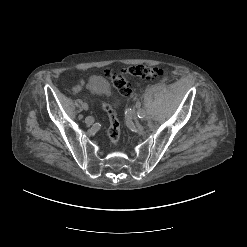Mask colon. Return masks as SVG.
<instances>
[{
	"mask_svg": "<svg viewBox=\"0 0 247 247\" xmlns=\"http://www.w3.org/2000/svg\"><path fill=\"white\" fill-rule=\"evenodd\" d=\"M113 87L117 89L123 96H129L131 93L128 77H136L144 81H155L162 79L165 75L164 71L159 67H151L146 65L129 66L121 69L119 72L107 71ZM103 108L109 118L108 137L110 143L115 146L120 138V124L116 111L106 102Z\"/></svg>",
	"mask_w": 247,
	"mask_h": 247,
	"instance_id": "1",
	"label": "colon"
}]
</instances>
